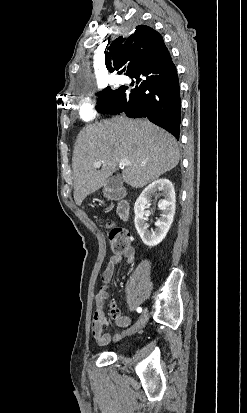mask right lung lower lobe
<instances>
[{"label":"right lung lower lobe","mask_w":247,"mask_h":413,"mask_svg":"<svg viewBox=\"0 0 247 413\" xmlns=\"http://www.w3.org/2000/svg\"><path fill=\"white\" fill-rule=\"evenodd\" d=\"M129 77L136 79V86L128 91L120 87L105 114L124 112L131 118L146 117L179 140L180 90L172 59L156 71Z\"/></svg>","instance_id":"right-lung-lower-lobe-1"}]
</instances>
